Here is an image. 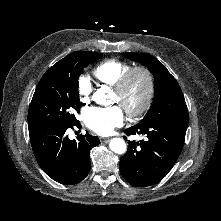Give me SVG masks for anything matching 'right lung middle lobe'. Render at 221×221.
<instances>
[{"label": "right lung middle lobe", "instance_id": "obj_1", "mask_svg": "<svg viewBox=\"0 0 221 221\" xmlns=\"http://www.w3.org/2000/svg\"><path fill=\"white\" fill-rule=\"evenodd\" d=\"M101 57L95 52H73L45 72L29 107V130L78 122L74 115L80 111L78 78L86 66Z\"/></svg>", "mask_w": 221, "mask_h": 221}]
</instances>
